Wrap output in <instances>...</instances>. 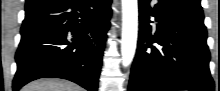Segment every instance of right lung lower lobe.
<instances>
[{
  "instance_id": "1",
  "label": "right lung lower lobe",
  "mask_w": 220,
  "mask_h": 91,
  "mask_svg": "<svg viewBox=\"0 0 220 91\" xmlns=\"http://www.w3.org/2000/svg\"><path fill=\"white\" fill-rule=\"evenodd\" d=\"M111 0H50L25 8L13 90L63 78L97 91Z\"/></svg>"
}]
</instances>
